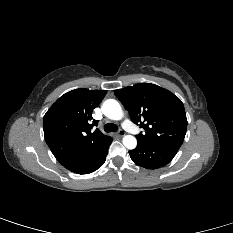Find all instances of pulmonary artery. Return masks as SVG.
Returning <instances> with one entry per match:
<instances>
[{"instance_id":"1","label":"pulmonary artery","mask_w":233,"mask_h":233,"mask_svg":"<svg viewBox=\"0 0 233 233\" xmlns=\"http://www.w3.org/2000/svg\"><path fill=\"white\" fill-rule=\"evenodd\" d=\"M123 126H124V128L126 130H128L131 133H135L136 132V128L133 126V124L128 119L124 120Z\"/></svg>"}]
</instances>
